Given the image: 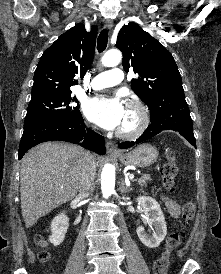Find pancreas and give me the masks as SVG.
I'll list each match as a JSON object with an SVG mask.
<instances>
[{"label": "pancreas", "mask_w": 221, "mask_h": 274, "mask_svg": "<svg viewBox=\"0 0 221 274\" xmlns=\"http://www.w3.org/2000/svg\"><path fill=\"white\" fill-rule=\"evenodd\" d=\"M150 180H151V176L149 174H144L137 179V182L141 187H144L147 185V181H150Z\"/></svg>", "instance_id": "obj_1"}]
</instances>
